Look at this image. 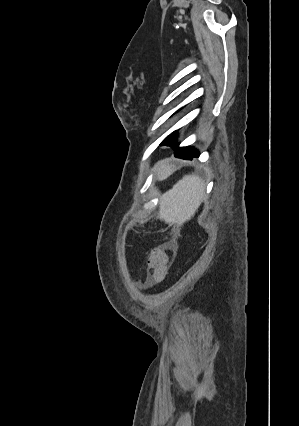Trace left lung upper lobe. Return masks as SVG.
<instances>
[{
	"instance_id": "left-lung-upper-lobe-1",
	"label": "left lung upper lobe",
	"mask_w": 299,
	"mask_h": 426,
	"mask_svg": "<svg viewBox=\"0 0 299 426\" xmlns=\"http://www.w3.org/2000/svg\"><path fill=\"white\" fill-rule=\"evenodd\" d=\"M176 137H177V131H174L173 133H171L169 136H167L160 145H166V146H172L175 141H176Z\"/></svg>"
}]
</instances>
